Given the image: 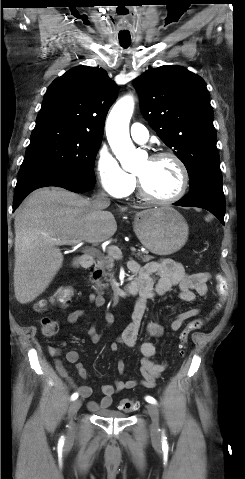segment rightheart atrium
Instances as JSON below:
<instances>
[{"mask_svg":"<svg viewBox=\"0 0 245 479\" xmlns=\"http://www.w3.org/2000/svg\"><path fill=\"white\" fill-rule=\"evenodd\" d=\"M96 170L100 185L108 195L116 198L126 195L131 187V177L106 147H102L98 153Z\"/></svg>","mask_w":245,"mask_h":479,"instance_id":"obj_1","label":"right heart atrium"}]
</instances>
